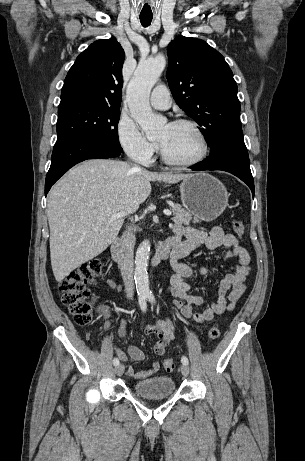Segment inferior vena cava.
<instances>
[{
  "instance_id": "inferior-vena-cava-1",
  "label": "inferior vena cava",
  "mask_w": 305,
  "mask_h": 461,
  "mask_svg": "<svg viewBox=\"0 0 305 461\" xmlns=\"http://www.w3.org/2000/svg\"><path fill=\"white\" fill-rule=\"evenodd\" d=\"M134 171L141 170L137 165H133ZM136 236L133 232L132 226H128L126 231L121 237L120 246V271L124 282L125 292L128 299H133L134 295V281H133V267H134V246Z\"/></svg>"
}]
</instances>
